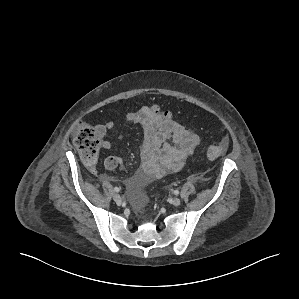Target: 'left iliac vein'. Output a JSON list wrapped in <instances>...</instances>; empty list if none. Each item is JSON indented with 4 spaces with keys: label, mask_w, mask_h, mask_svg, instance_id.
<instances>
[{
    "label": "left iliac vein",
    "mask_w": 299,
    "mask_h": 299,
    "mask_svg": "<svg viewBox=\"0 0 299 299\" xmlns=\"http://www.w3.org/2000/svg\"><path fill=\"white\" fill-rule=\"evenodd\" d=\"M180 203H181V200H180L178 197L173 198V200H172V204H173L174 206H179Z\"/></svg>",
    "instance_id": "4c4485c4"
}]
</instances>
